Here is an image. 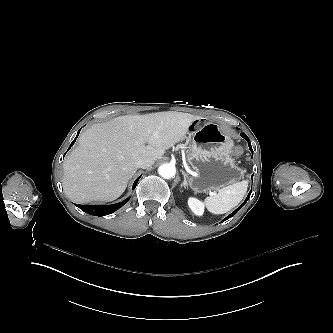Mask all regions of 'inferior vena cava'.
<instances>
[{
  "mask_svg": "<svg viewBox=\"0 0 333 333\" xmlns=\"http://www.w3.org/2000/svg\"><path fill=\"white\" fill-rule=\"evenodd\" d=\"M153 164H154V160H152L150 158H140L137 161L136 166H137V168L146 169V168L150 167Z\"/></svg>",
  "mask_w": 333,
  "mask_h": 333,
  "instance_id": "obj_1",
  "label": "inferior vena cava"
}]
</instances>
